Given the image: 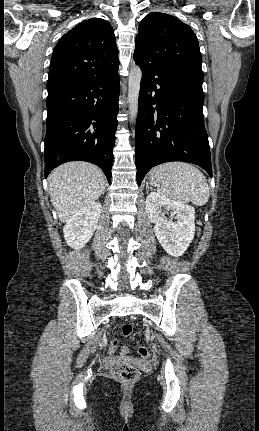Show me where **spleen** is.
<instances>
[{
  "label": "spleen",
  "mask_w": 259,
  "mask_h": 431,
  "mask_svg": "<svg viewBox=\"0 0 259 431\" xmlns=\"http://www.w3.org/2000/svg\"><path fill=\"white\" fill-rule=\"evenodd\" d=\"M150 180L158 191L181 203L202 206L208 202L210 191L203 173L185 162H169L152 169Z\"/></svg>",
  "instance_id": "3e777b00"
}]
</instances>
